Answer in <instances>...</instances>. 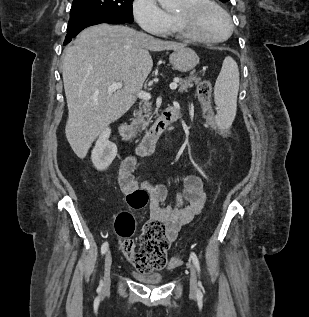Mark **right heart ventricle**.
Segmentation results:
<instances>
[{"label":"right heart ventricle","mask_w":309,"mask_h":317,"mask_svg":"<svg viewBox=\"0 0 309 317\" xmlns=\"http://www.w3.org/2000/svg\"><path fill=\"white\" fill-rule=\"evenodd\" d=\"M191 2H195V0H183V3H191ZM169 16V20H170V30L171 32L173 33H176V34H181L175 24V20H174V15L172 14H168Z\"/></svg>","instance_id":"e07e8e85"}]
</instances>
